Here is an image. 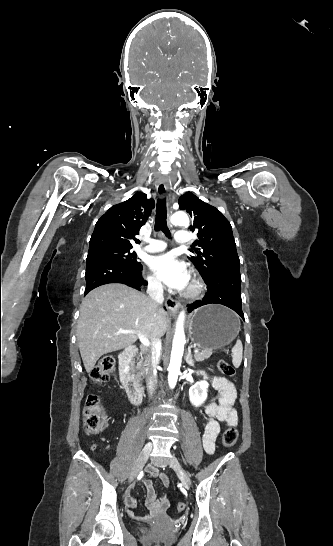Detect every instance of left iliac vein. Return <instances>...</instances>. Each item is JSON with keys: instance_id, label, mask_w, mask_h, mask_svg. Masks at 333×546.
<instances>
[{"instance_id": "left-iliac-vein-1", "label": "left iliac vein", "mask_w": 333, "mask_h": 546, "mask_svg": "<svg viewBox=\"0 0 333 546\" xmlns=\"http://www.w3.org/2000/svg\"><path fill=\"white\" fill-rule=\"evenodd\" d=\"M170 466L172 469L176 472L180 480L185 486H190L191 480L187 474V472L183 469L181 464L179 463L178 459L175 456H172L170 459Z\"/></svg>"}]
</instances>
